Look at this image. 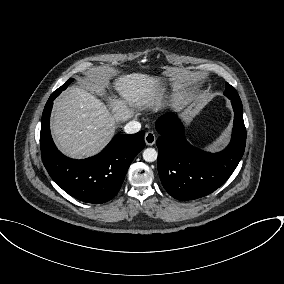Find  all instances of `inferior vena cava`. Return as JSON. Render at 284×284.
Instances as JSON below:
<instances>
[{
	"mask_svg": "<svg viewBox=\"0 0 284 284\" xmlns=\"http://www.w3.org/2000/svg\"><path fill=\"white\" fill-rule=\"evenodd\" d=\"M141 129V124L140 122H137V121H130L128 122L125 127H124V131L127 133V134H134V133H137L138 131H140Z\"/></svg>",
	"mask_w": 284,
	"mask_h": 284,
	"instance_id": "obj_1",
	"label": "inferior vena cava"
}]
</instances>
